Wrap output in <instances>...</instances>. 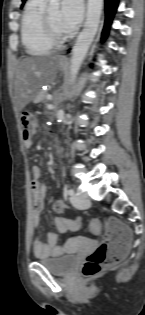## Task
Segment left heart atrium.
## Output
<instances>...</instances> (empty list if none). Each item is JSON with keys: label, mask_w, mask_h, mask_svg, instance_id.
Returning <instances> with one entry per match:
<instances>
[{"label": "left heart atrium", "mask_w": 145, "mask_h": 315, "mask_svg": "<svg viewBox=\"0 0 145 315\" xmlns=\"http://www.w3.org/2000/svg\"><path fill=\"white\" fill-rule=\"evenodd\" d=\"M82 16V0H63L60 8V18L67 32H71L80 24Z\"/></svg>", "instance_id": "obj_1"}]
</instances>
